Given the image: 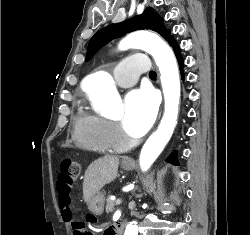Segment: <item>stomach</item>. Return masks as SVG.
I'll list each match as a JSON object with an SVG mask.
<instances>
[{"mask_svg": "<svg viewBox=\"0 0 250 235\" xmlns=\"http://www.w3.org/2000/svg\"><path fill=\"white\" fill-rule=\"evenodd\" d=\"M134 167L133 164H124L122 163V168L124 170H131ZM104 202H105V197L101 192H98L94 194L88 204L89 210L96 214V215H101L104 211Z\"/></svg>", "mask_w": 250, "mask_h": 235, "instance_id": "stomach-1", "label": "stomach"}]
</instances>
